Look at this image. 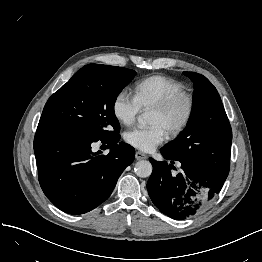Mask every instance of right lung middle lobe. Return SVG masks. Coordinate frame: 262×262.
I'll use <instances>...</instances> for the list:
<instances>
[{
	"label": "right lung middle lobe",
	"mask_w": 262,
	"mask_h": 262,
	"mask_svg": "<svg viewBox=\"0 0 262 262\" xmlns=\"http://www.w3.org/2000/svg\"><path fill=\"white\" fill-rule=\"evenodd\" d=\"M135 75L134 70L122 67L86 65L48 99L39 123L68 127L99 139L115 136L120 125L114 104Z\"/></svg>",
	"instance_id": "dd1d6c3e"
}]
</instances>
